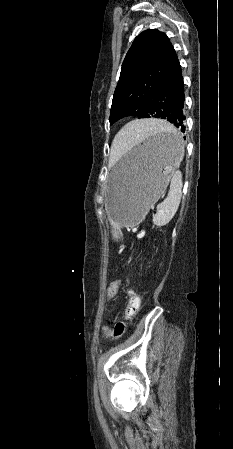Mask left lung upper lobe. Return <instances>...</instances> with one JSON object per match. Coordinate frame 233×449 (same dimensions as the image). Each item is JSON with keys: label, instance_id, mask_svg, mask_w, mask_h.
Segmentation results:
<instances>
[{"label": "left lung upper lobe", "instance_id": "left-lung-upper-lobe-1", "mask_svg": "<svg viewBox=\"0 0 233 449\" xmlns=\"http://www.w3.org/2000/svg\"><path fill=\"white\" fill-rule=\"evenodd\" d=\"M178 65L176 52L165 33L157 29L140 33L122 64L110 124L125 116L144 118L153 96Z\"/></svg>", "mask_w": 233, "mask_h": 449}]
</instances>
